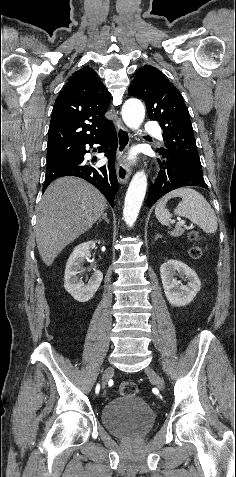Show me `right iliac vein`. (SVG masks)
<instances>
[{
  "label": "right iliac vein",
  "instance_id": "1",
  "mask_svg": "<svg viewBox=\"0 0 236 477\" xmlns=\"http://www.w3.org/2000/svg\"><path fill=\"white\" fill-rule=\"evenodd\" d=\"M112 372H113V368H112L111 366H108V367L104 370L103 375H102V386H103L102 388H103V389H101V392H104V388H105V386H106V384H107V382H108V379H109V377H110V375H111Z\"/></svg>",
  "mask_w": 236,
  "mask_h": 477
}]
</instances>
